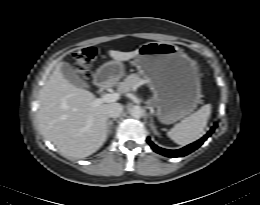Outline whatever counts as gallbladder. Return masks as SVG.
<instances>
[{"label": "gallbladder", "instance_id": "bac80fb5", "mask_svg": "<svg viewBox=\"0 0 260 205\" xmlns=\"http://www.w3.org/2000/svg\"><path fill=\"white\" fill-rule=\"evenodd\" d=\"M61 73L63 77L74 86L79 88H89L87 82L78 75L77 71L71 64L67 62L62 63Z\"/></svg>", "mask_w": 260, "mask_h": 205}]
</instances>
